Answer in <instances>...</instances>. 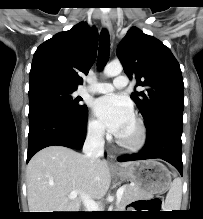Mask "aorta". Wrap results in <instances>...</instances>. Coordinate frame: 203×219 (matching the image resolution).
I'll list each match as a JSON object with an SVG mask.
<instances>
[{"label":"aorta","instance_id":"obj_1","mask_svg":"<svg viewBox=\"0 0 203 219\" xmlns=\"http://www.w3.org/2000/svg\"><path fill=\"white\" fill-rule=\"evenodd\" d=\"M123 70V67L120 62H112L105 66L104 75L106 77H114L119 75Z\"/></svg>","mask_w":203,"mask_h":219}]
</instances>
